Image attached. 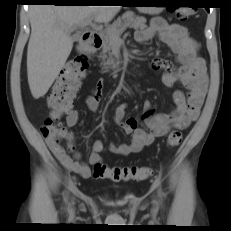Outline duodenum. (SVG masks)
I'll list each match as a JSON object with an SVG mask.
<instances>
[{"label":"duodenum","instance_id":"1","mask_svg":"<svg viewBox=\"0 0 231 231\" xmlns=\"http://www.w3.org/2000/svg\"><path fill=\"white\" fill-rule=\"evenodd\" d=\"M102 45V38L97 31H86L82 35L81 51L92 53L98 50Z\"/></svg>","mask_w":231,"mask_h":231}]
</instances>
